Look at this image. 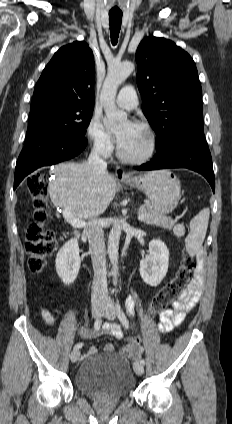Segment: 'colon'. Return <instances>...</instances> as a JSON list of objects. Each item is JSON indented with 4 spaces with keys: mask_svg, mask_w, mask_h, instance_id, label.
Returning <instances> with one entry per match:
<instances>
[{
    "mask_svg": "<svg viewBox=\"0 0 232 424\" xmlns=\"http://www.w3.org/2000/svg\"><path fill=\"white\" fill-rule=\"evenodd\" d=\"M28 190L34 205V222L27 230L25 249L28 255V267L30 271L37 273L43 269L47 258L54 251L55 237L51 231L45 229V222L50 215L45 177L33 175L28 180ZM195 266L194 259L184 253L176 275L153 297L149 307L151 314H160L181 295ZM123 343L133 347V338L124 337Z\"/></svg>",
    "mask_w": 232,
    "mask_h": 424,
    "instance_id": "5ec220e1",
    "label": "colon"
}]
</instances>
